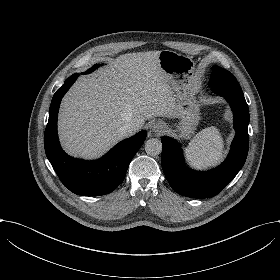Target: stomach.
<instances>
[{"instance_id": "obj_1", "label": "stomach", "mask_w": 280, "mask_h": 280, "mask_svg": "<svg viewBox=\"0 0 280 280\" xmlns=\"http://www.w3.org/2000/svg\"><path fill=\"white\" fill-rule=\"evenodd\" d=\"M158 59L159 67L175 93V111L179 119L175 131L189 139L200 120L199 104L195 97L198 90L195 62L190 56L172 50L160 51ZM168 132H172L171 127H168Z\"/></svg>"}]
</instances>
